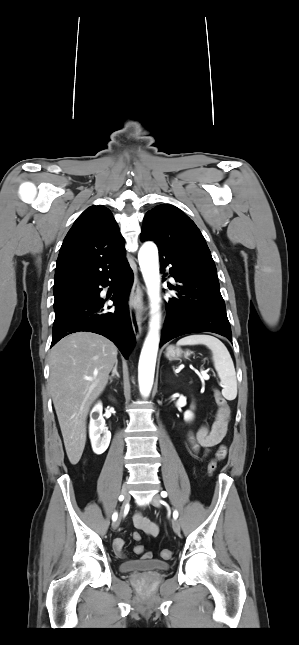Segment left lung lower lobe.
Segmentation results:
<instances>
[{"mask_svg":"<svg viewBox=\"0 0 299 645\" xmlns=\"http://www.w3.org/2000/svg\"><path fill=\"white\" fill-rule=\"evenodd\" d=\"M159 256L161 270L165 272L170 265L169 273L178 282L169 287L178 293L166 303L160 347L178 336L199 332L217 333L232 341L215 263L176 246L159 249Z\"/></svg>","mask_w":299,"mask_h":645,"instance_id":"0a47b994","label":"left lung lower lobe"}]
</instances>
